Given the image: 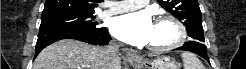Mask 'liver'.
I'll return each instance as SVG.
<instances>
[{
	"instance_id": "obj_1",
	"label": "liver",
	"mask_w": 246,
	"mask_h": 69,
	"mask_svg": "<svg viewBox=\"0 0 246 69\" xmlns=\"http://www.w3.org/2000/svg\"><path fill=\"white\" fill-rule=\"evenodd\" d=\"M33 69H121V61L112 63L107 48L66 39L43 49Z\"/></svg>"
}]
</instances>
